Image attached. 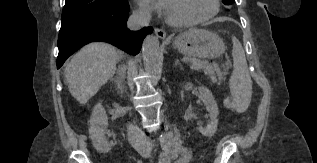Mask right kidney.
<instances>
[{
    "instance_id": "right-kidney-1",
    "label": "right kidney",
    "mask_w": 317,
    "mask_h": 163,
    "mask_svg": "<svg viewBox=\"0 0 317 163\" xmlns=\"http://www.w3.org/2000/svg\"><path fill=\"white\" fill-rule=\"evenodd\" d=\"M89 123V136L93 147L100 153L109 152L111 147L105 137L108 117L101 103L95 105Z\"/></svg>"
}]
</instances>
